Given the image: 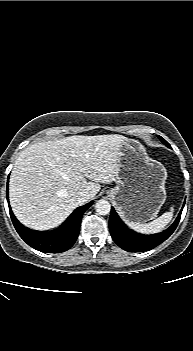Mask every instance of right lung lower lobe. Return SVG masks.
<instances>
[{"label":"right lung lower lobe","mask_w":193,"mask_h":351,"mask_svg":"<svg viewBox=\"0 0 193 351\" xmlns=\"http://www.w3.org/2000/svg\"><path fill=\"white\" fill-rule=\"evenodd\" d=\"M8 200V186H7ZM9 203V200H8ZM93 204L90 202L78 207L57 229L50 232H38L24 227L14 216L10 206V216L20 237L31 247L41 252L60 253L70 249L75 243L80 230L84 212Z\"/></svg>","instance_id":"obj_1"}]
</instances>
